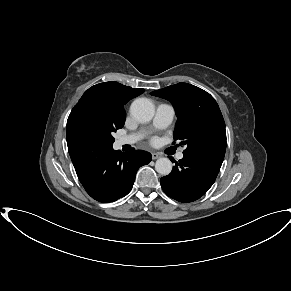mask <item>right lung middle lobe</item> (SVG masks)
Returning a JSON list of instances; mask_svg holds the SVG:
<instances>
[{"mask_svg":"<svg viewBox=\"0 0 291 291\" xmlns=\"http://www.w3.org/2000/svg\"><path fill=\"white\" fill-rule=\"evenodd\" d=\"M125 115L116 114L105 107L83 104L74 107L67 120L66 137H81L112 146L113 132L123 127Z\"/></svg>","mask_w":291,"mask_h":291,"instance_id":"obj_1","label":"right lung middle lobe"}]
</instances>
